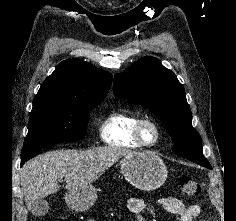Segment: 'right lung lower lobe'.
Wrapping results in <instances>:
<instances>
[{"label": "right lung lower lobe", "mask_w": 236, "mask_h": 221, "mask_svg": "<svg viewBox=\"0 0 236 221\" xmlns=\"http://www.w3.org/2000/svg\"><path fill=\"white\" fill-rule=\"evenodd\" d=\"M38 154H39V151H35V152L21 156V165H23L26 161H28L29 159H31L32 157Z\"/></svg>", "instance_id": "1"}]
</instances>
